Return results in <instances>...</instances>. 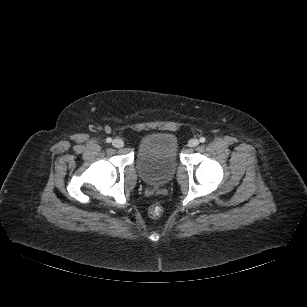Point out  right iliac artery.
<instances>
[{
	"label": "right iliac artery",
	"mask_w": 307,
	"mask_h": 307,
	"mask_svg": "<svg viewBox=\"0 0 307 307\" xmlns=\"http://www.w3.org/2000/svg\"><path fill=\"white\" fill-rule=\"evenodd\" d=\"M106 142H107V143H111V142H112V139H111L110 137H108V138L106 139Z\"/></svg>",
	"instance_id": "obj_1"
}]
</instances>
